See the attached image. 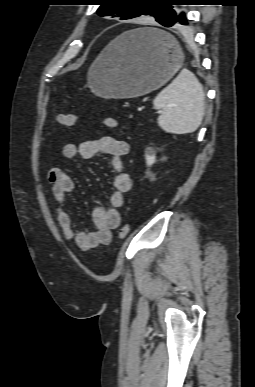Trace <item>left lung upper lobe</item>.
<instances>
[{
  "label": "left lung upper lobe",
  "mask_w": 255,
  "mask_h": 387,
  "mask_svg": "<svg viewBox=\"0 0 255 387\" xmlns=\"http://www.w3.org/2000/svg\"><path fill=\"white\" fill-rule=\"evenodd\" d=\"M178 0H98L101 6L99 16L120 17L131 19L142 15L153 16L160 24H165L176 17L172 2Z\"/></svg>",
  "instance_id": "left-lung-upper-lobe-1"
}]
</instances>
